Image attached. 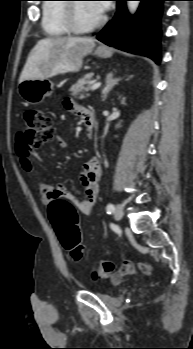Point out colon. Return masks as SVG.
I'll return each instance as SVG.
<instances>
[{
  "instance_id": "1",
  "label": "colon",
  "mask_w": 193,
  "mask_h": 349,
  "mask_svg": "<svg viewBox=\"0 0 193 349\" xmlns=\"http://www.w3.org/2000/svg\"><path fill=\"white\" fill-rule=\"evenodd\" d=\"M23 136L29 150L39 147L55 138L53 121L42 110L31 108L24 114ZM48 217L53 225L63 248L68 251L75 261L84 257L78 228V211L76 205L65 199L52 201L48 205ZM140 269L148 273L150 266L141 263ZM114 270L113 262L100 260L92 272L93 279L107 278Z\"/></svg>"
}]
</instances>
